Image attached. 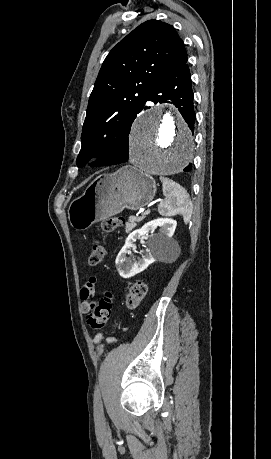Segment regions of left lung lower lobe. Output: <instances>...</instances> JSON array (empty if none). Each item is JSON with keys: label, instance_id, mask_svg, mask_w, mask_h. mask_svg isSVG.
I'll list each match as a JSON object with an SVG mask.
<instances>
[{"label": "left lung lower lobe", "instance_id": "left-lung-lower-lobe-1", "mask_svg": "<svg viewBox=\"0 0 271 459\" xmlns=\"http://www.w3.org/2000/svg\"><path fill=\"white\" fill-rule=\"evenodd\" d=\"M165 97V98H164ZM193 91L191 83V73L189 65L186 62L170 77L164 80L149 96L147 101L154 103L167 102V99L172 100L175 106L179 109V112L187 122L189 128L194 130V122L196 114L193 108ZM146 109V108H143ZM129 158V153L124 157L113 161L111 164H119L126 162ZM109 164V165H111ZM189 164L184 171L188 172L191 169Z\"/></svg>", "mask_w": 271, "mask_h": 459}]
</instances>
